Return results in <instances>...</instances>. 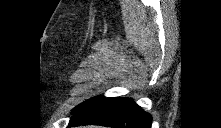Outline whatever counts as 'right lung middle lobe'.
I'll return each instance as SVG.
<instances>
[{
    "label": "right lung middle lobe",
    "mask_w": 221,
    "mask_h": 128,
    "mask_svg": "<svg viewBox=\"0 0 221 128\" xmlns=\"http://www.w3.org/2000/svg\"><path fill=\"white\" fill-rule=\"evenodd\" d=\"M103 99L102 96H98V97H95V98H92V99H89L87 100L86 102H83L82 104L78 105L75 109H73L72 113L84 108V107H87L93 103H96L98 102L99 100Z\"/></svg>",
    "instance_id": "dd1d6c3e"
}]
</instances>
